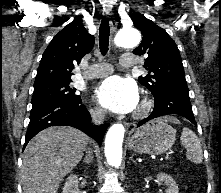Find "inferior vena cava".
Returning a JSON list of instances; mask_svg holds the SVG:
<instances>
[{
	"label": "inferior vena cava",
	"mask_w": 221,
	"mask_h": 193,
	"mask_svg": "<svg viewBox=\"0 0 221 193\" xmlns=\"http://www.w3.org/2000/svg\"><path fill=\"white\" fill-rule=\"evenodd\" d=\"M92 120L95 124H101L105 118V110L99 108L91 111Z\"/></svg>",
	"instance_id": "1"
}]
</instances>
